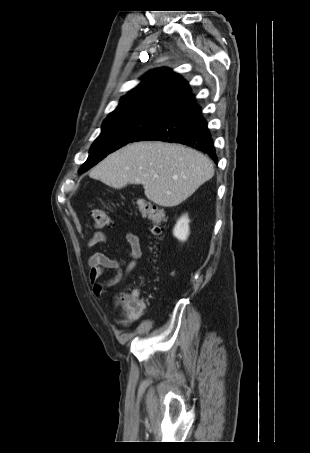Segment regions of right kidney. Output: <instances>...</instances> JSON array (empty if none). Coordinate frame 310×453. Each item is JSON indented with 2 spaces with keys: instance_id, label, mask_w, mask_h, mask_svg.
I'll return each mask as SVG.
<instances>
[{
  "instance_id": "1",
  "label": "right kidney",
  "mask_w": 310,
  "mask_h": 453,
  "mask_svg": "<svg viewBox=\"0 0 310 453\" xmlns=\"http://www.w3.org/2000/svg\"><path fill=\"white\" fill-rule=\"evenodd\" d=\"M189 218L188 215L185 214L177 221L173 235L180 241H185L189 236Z\"/></svg>"
}]
</instances>
